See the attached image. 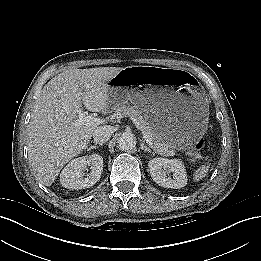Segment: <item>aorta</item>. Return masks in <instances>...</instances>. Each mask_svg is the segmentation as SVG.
I'll use <instances>...</instances> for the list:
<instances>
[{
  "label": "aorta",
  "mask_w": 261,
  "mask_h": 261,
  "mask_svg": "<svg viewBox=\"0 0 261 261\" xmlns=\"http://www.w3.org/2000/svg\"><path fill=\"white\" fill-rule=\"evenodd\" d=\"M118 148L122 151H128L135 147L136 138L132 133H123L118 141Z\"/></svg>",
  "instance_id": "762f6f07"
}]
</instances>
